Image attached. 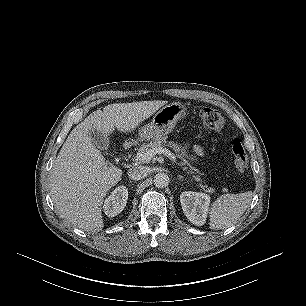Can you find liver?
I'll list each match as a JSON object with an SVG mask.
<instances>
[{"mask_svg":"<svg viewBox=\"0 0 306 306\" xmlns=\"http://www.w3.org/2000/svg\"><path fill=\"white\" fill-rule=\"evenodd\" d=\"M167 101L110 104L78 124L63 144L51 170L50 193L60 217L89 233L103 229L101 206L107 192L122 177V170L105 161L92 142L91 130L109 141L115 128L131 132Z\"/></svg>","mask_w":306,"mask_h":306,"instance_id":"1","label":"liver"}]
</instances>
